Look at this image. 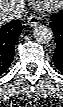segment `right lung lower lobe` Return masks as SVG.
Segmentation results:
<instances>
[{"label": "right lung lower lobe", "instance_id": "obj_1", "mask_svg": "<svg viewBox=\"0 0 63 107\" xmlns=\"http://www.w3.org/2000/svg\"><path fill=\"white\" fill-rule=\"evenodd\" d=\"M22 30L19 20H13L0 28V75L6 72L15 53V43Z\"/></svg>", "mask_w": 63, "mask_h": 107}]
</instances>
